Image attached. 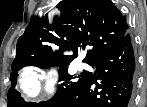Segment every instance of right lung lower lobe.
<instances>
[{"instance_id":"obj_1","label":"right lung lower lobe","mask_w":147,"mask_h":107,"mask_svg":"<svg viewBox=\"0 0 147 107\" xmlns=\"http://www.w3.org/2000/svg\"><path fill=\"white\" fill-rule=\"evenodd\" d=\"M94 74L54 107H131L136 82L132 39L127 32L93 65Z\"/></svg>"}]
</instances>
